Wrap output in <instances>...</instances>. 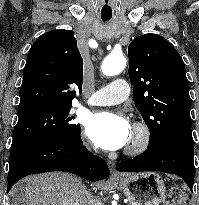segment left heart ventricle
Masks as SVG:
<instances>
[{
    "instance_id": "1",
    "label": "left heart ventricle",
    "mask_w": 199,
    "mask_h": 205,
    "mask_svg": "<svg viewBox=\"0 0 199 205\" xmlns=\"http://www.w3.org/2000/svg\"><path fill=\"white\" fill-rule=\"evenodd\" d=\"M132 139H133V135H132V137H131V139H130V140L132 141Z\"/></svg>"
}]
</instances>
